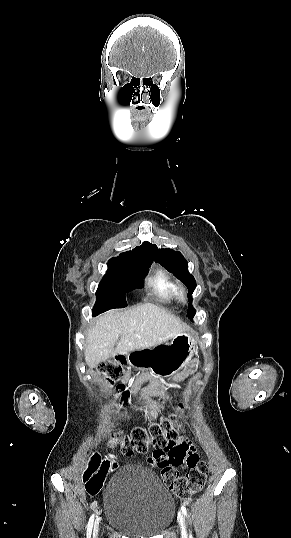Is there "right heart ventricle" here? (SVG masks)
<instances>
[{
  "label": "right heart ventricle",
  "mask_w": 291,
  "mask_h": 538,
  "mask_svg": "<svg viewBox=\"0 0 291 538\" xmlns=\"http://www.w3.org/2000/svg\"><path fill=\"white\" fill-rule=\"evenodd\" d=\"M153 294L161 301L169 302L176 297L177 285L163 269H157L149 280Z\"/></svg>",
  "instance_id": "e07e8e85"
}]
</instances>
